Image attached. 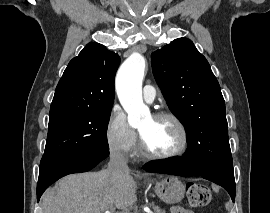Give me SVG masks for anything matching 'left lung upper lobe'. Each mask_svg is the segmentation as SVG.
<instances>
[{
    "mask_svg": "<svg viewBox=\"0 0 270 213\" xmlns=\"http://www.w3.org/2000/svg\"><path fill=\"white\" fill-rule=\"evenodd\" d=\"M153 74L167 105L185 126L187 142L206 168L233 165L225 102L206 58L179 38L151 55Z\"/></svg>",
    "mask_w": 270,
    "mask_h": 213,
    "instance_id": "left-lung-upper-lobe-1",
    "label": "left lung upper lobe"
}]
</instances>
